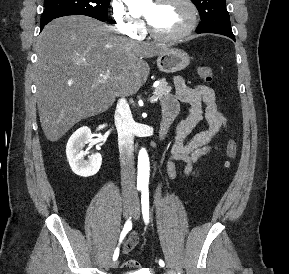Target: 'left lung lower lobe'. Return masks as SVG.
Wrapping results in <instances>:
<instances>
[{
  "instance_id": "0a47b994",
  "label": "left lung lower lobe",
  "mask_w": 289,
  "mask_h": 274,
  "mask_svg": "<svg viewBox=\"0 0 289 274\" xmlns=\"http://www.w3.org/2000/svg\"><path fill=\"white\" fill-rule=\"evenodd\" d=\"M222 35H225V36H227V37H229L235 41V37L233 34H222Z\"/></svg>"
}]
</instances>
